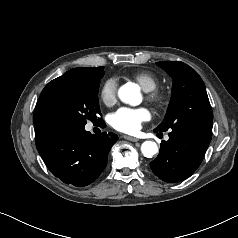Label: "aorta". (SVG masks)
I'll return each mask as SVG.
<instances>
[{"instance_id":"aorta-1","label":"aorta","mask_w":238,"mask_h":238,"mask_svg":"<svg viewBox=\"0 0 238 238\" xmlns=\"http://www.w3.org/2000/svg\"><path fill=\"white\" fill-rule=\"evenodd\" d=\"M118 96L122 102L135 105L140 99V91L135 84L127 83L120 87ZM141 152L144 157L151 158L158 152V146L154 141H145L141 145Z\"/></svg>"}]
</instances>
